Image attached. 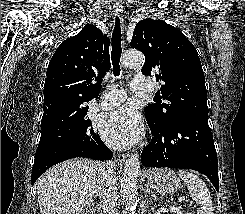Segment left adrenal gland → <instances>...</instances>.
I'll list each match as a JSON object with an SVG mask.
<instances>
[{
	"label": "left adrenal gland",
	"instance_id": "1",
	"mask_svg": "<svg viewBox=\"0 0 245 214\" xmlns=\"http://www.w3.org/2000/svg\"><path fill=\"white\" fill-rule=\"evenodd\" d=\"M145 196H148V195H151V197L155 200V201H157V196L154 194V192H152L150 189H149V187H148V185L146 186V189H145Z\"/></svg>",
	"mask_w": 245,
	"mask_h": 214
}]
</instances>
